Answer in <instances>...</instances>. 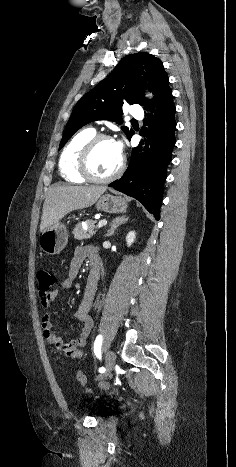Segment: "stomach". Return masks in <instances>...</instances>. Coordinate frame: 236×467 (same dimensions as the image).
Masks as SVG:
<instances>
[{"label":"stomach","instance_id":"1","mask_svg":"<svg viewBox=\"0 0 236 467\" xmlns=\"http://www.w3.org/2000/svg\"><path fill=\"white\" fill-rule=\"evenodd\" d=\"M97 210L107 213H124L127 209L126 201L110 194L101 196L96 203ZM68 232L64 224L57 222L46 228L40 238V248L49 255L59 254L67 245Z\"/></svg>","mask_w":236,"mask_h":467}]
</instances>
